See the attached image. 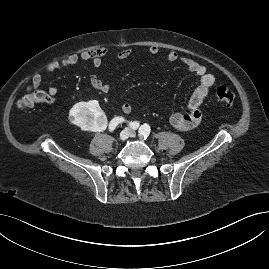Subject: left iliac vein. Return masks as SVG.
I'll use <instances>...</instances> for the list:
<instances>
[{
	"label": "left iliac vein",
	"instance_id": "1",
	"mask_svg": "<svg viewBox=\"0 0 269 269\" xmlns=\"http://www.w3.org/2000/svg\"><path fill=\"white\" fill-rule=\"evenodd\" d=\"M136 136V132L135 131H131L130 132V137H135Z\"/></svg>",
	"mask_w": 269,
	"mask_h": 269
}]
</instances>
